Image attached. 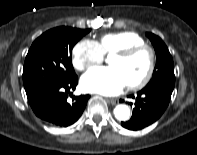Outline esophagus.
<instances>
[{"mask_svg": "<svg viewBox=\"0 0 197 155\" xmlns=\"http://www.w3.org/2000/svg\"><path fill=\"white\" fill-rule=\"evenodd\" d=\"M108 102H110L112 105H116L118 103L116 99H108Z\"/></svg>", "mask_w": 197, "mask_h": 155, "instance_id": "obj_1", "label": "esophagus"}]
</instances>
